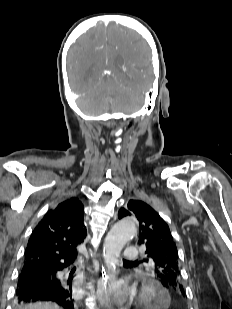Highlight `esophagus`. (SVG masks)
I'll return each instance as SVG.
<instances>
[{
  "label": "esophagus",
  "instance_id": "34e87169",
  "mask_svg": "<svg viewBox=\"0 0 232 309\" xmlns=\"http://www.w3.org/2000/svg\"><path fill=\"white\" fill-rule=\"evenodd\" d=\"M114 279V276L111 275L105 267L101 266L100 278L97 280V288H96V297L99 302L100 307L103 309H110L107 298L105 297L104 290L109 284V281Z\"/></svg>",
  "mask_w": 232,
  "mask_h": 309
}]
</instances>
